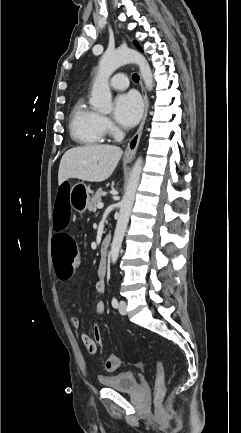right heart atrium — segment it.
Segmentation results:
<instances>
[{"mask_svg":"<svg viewBox=\"0 0 241 433\" xmlns=\"http://www.w3.org/2000/svg\"><path fill=\"white\" fill-rule=\"evenodd\" d=\"M102 123H103L104 128L107 131H110V132L115 131V127L113 126V124L111 123V121L107 117H102Z\"/></svg>","mask_w":241,"mask_h":433,"instance_id":"1","label":"right heart atrium"}]
</instances>
